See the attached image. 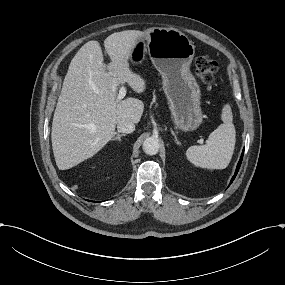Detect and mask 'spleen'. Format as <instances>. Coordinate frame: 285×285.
Segmentation results:
<instances>
[{
  "label": "spleen",
  "mask_w": 285,
  "mask_h": 285,
  "mask_svg": "<svg viewBox=\"0 0 285 285\" xmlns=\"http://www.w3.org/2000/svg\"><path fill=\"white\" fill-rule=\"evenodd\" d=\"M221 119L223 124L209 135L205 145L191 146L187 149V159L195 166L225 169L229 165L236 143V131L229 104L224 105Z\"/></svg>",
  "instance_id": "3e777b00"
}]
</instances>
